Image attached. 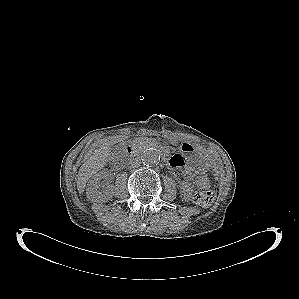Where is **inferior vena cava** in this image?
I'll return each mask as SVG.
<instances>
[{"label":"inferior vena cava","mask_w":299,"mask_h":299,"mask_svg":"<svg viewBox=\"0 0 299 299\" xmlns=\"http://www.w3.org/2000/svg\"><path fill=\"white\" fill-rule=\"evenodd\" d=\"M140 165V162L139 161H133L132 163H131V167L132 168H136V167H138Z\"/></svg>","instance_id":"602c4592"}]
</instances>
